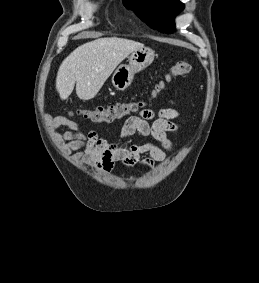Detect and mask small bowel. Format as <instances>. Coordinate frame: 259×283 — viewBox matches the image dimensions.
Listing matches in <instances>:
<instances>
[{
    "mask_svg": "<svg viewBox=\"0 0 259 283\" xmlns=\"http://www.w3.org/2000/svg\"><path fill=\"white\" fill-rule=\"evenodd\" d=\"M178 117V111L168 107L157 111L144 109L138 115L126 119L121 129L123 138L127 139L139 133L153 138L158 144L146 142L129 145L111 142L101 132H83L78 123L64 116L55 117L52 125L55 129H67L58 134L67 151L81 150L71 156L72 161H79L102 172H111L117 161L125 167H133L137 164L152 166L165 160L173 152L169 133L178 130ZM144 155L147 158L141 160Z\"/></svg>",
    "mask_w": 259,
    "mask_h": 283,
    "instance_id": "obj_1",
    "label": "small bowel"
}]
</instances>
